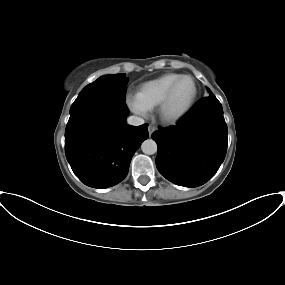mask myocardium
<instances>
[{
  "label": "myocardium",
  "mask_w": 285,
  "mask_h": 285,
  "mask_svg": "<svg viewBox=\"0 0 285 285\" xmlns=\"http://www.w3.org/2000/svg\"><path fill=\"white\" fill-rule=\"evenodd\" d=\"M185 78L190 79L194 84V93H193L192 99L190 100L188 105L183 110H181L178 113H171L169 111V104H170L171 98L173 96V93L177 85L180 83L181 80ZM197 99H198V84L195 78L191 75H181L170 85V87L168 88L164 97L162 98L161 102L158 105V113H159V117L161 121L166 124H175L181 121L192 111V109L194 108L197 102Z\"/></svg>",
  "instance_id": "1"
}]
</instances>
